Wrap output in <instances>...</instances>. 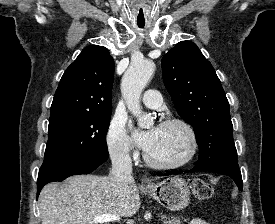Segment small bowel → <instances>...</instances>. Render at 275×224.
<instances>
[{
	"mask_svg": "<svg viewBox=\"0 0 275 224\" xmlns=\"http://www.w3.org/2000/svg\"><path fill=\"white\" fill-rule=\"evenodd\" d=\"M189 224H208L205 220L200 218H194L190 221Z\"/></svg>",
	"mask_w": 275,
	"mask_h": 224,
	"instance_id": "c3829d8e",
	"label": "small bowel"
}]
</instances>
